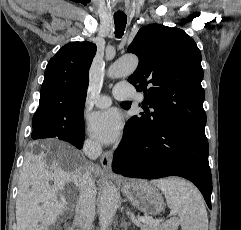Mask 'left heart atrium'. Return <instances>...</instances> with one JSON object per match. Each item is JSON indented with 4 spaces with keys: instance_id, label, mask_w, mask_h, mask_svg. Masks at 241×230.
<instances>
[{
    "instance_id": "left-heart-atrium-1",
    "label": "left heart atrium",
    "mask_w": 241,
    "mask_h": 230,
    "mask_svg": "<svg viewBox=\"0 0 241 230\" xmlns=\"http://www.w3.org/2000/svg\"><path fill=\"white\" fill-rule=\"evenodd\" d=\"M122 128L120 112L116 108H110L93 115L89 131L97 141L103 144H111L119 138Z\"/></svg>"
}]
</instances>
